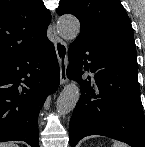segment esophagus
Here are the masks:
<instances>
[{"mask_svg": "<svg viewBox=\"0 0 145 147\" xmlns=\"http://www.w3.org/2000/svg\"><path fill=\"white\" fill-rule=\"evenodd\" d=\"M54 47L60 68V84L64 85L67 82V66H68V47L66 43L61 40L53 26Z\"/></svg>", "mask_w": 145, "mask_h": 147, "instance_id": "obj_1", "label": "esophagus"}]
</instances>
